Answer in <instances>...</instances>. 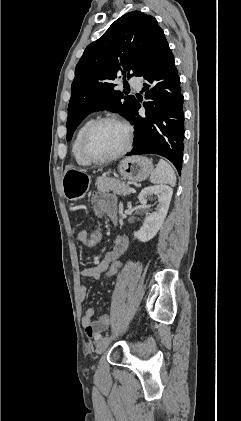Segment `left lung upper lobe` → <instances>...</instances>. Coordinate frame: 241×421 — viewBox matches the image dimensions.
<instances>
[{"instance_id": "obj_1", "label": "left lung upper lobe", "mask_w": 241, "mask_h": 421, "mask_svg": "<svg viewBox=\"0 0 241 421\" xmlns=\"http://www.w3.org/2000/svg\"><path fill=\"white\" fill-rule=\"evenodd\" d=\"M161 30L153 16L133 11L117 19L86 47L71 85L67 140L93 111L107 108L130 120L137 100L132 95L126 96L125 91H116L114 80L127 72V77L137 75Z\"/></svg>"}]
</instances>
